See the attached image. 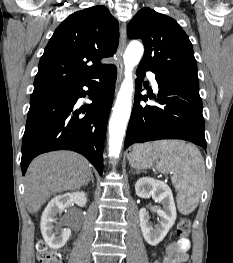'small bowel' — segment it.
<instances>
[{"label":"small bowel","instance_id":"c3829d8e","mask_svg":"<svg viewBox=\"0 0 233 263\" xmlns=\"http://www.w3.org/2000/svg\"><path fill=\"white\" fill-rule=\"evenodd\" d=\"M190 248L191 242L188 238H179L167 245L166 254L161 260H154L153 263H184L188 259Z\"/></svg>","mask_w":233,"mask_h":263}]
</instances>
